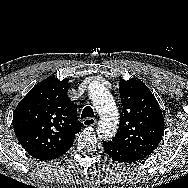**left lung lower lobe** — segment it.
<instances>
[{"label":"left lung lower lobe","instance_id":"obj_1","mask_svg":"<svg viewBox=\"0 0 188 188\" xmlns=\"http://www.w3.org/2000/svg\"><path fill=\"white\" fill-rule=\"evenodd\" d=\"M103 148L114 161L131 163L144 160L137 154L126 150L111 141H103Z\"/></svg>","mask_w":188,"mask_h":188}]
</instances>
